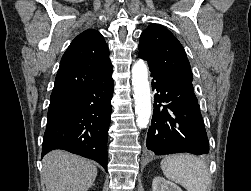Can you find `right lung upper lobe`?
Masks as SVG:
<instances>
[{
	"label": "right lung upper lobe",
	"instance_id": "1",
	"mask_svg": "<svg viewBox=\"0 0 251 191\" xmlns=\"http://www.w3.org/2000/svg\"><path fill=\"white\" fill-rule=\"evenodd\" d=\"M112 72L103 36L96 30H85L72 41L61 59L50 102L101 83Z\"/></svg>",
	"mask_w": 251,
	"mask_h": 191
}]
</instances>
